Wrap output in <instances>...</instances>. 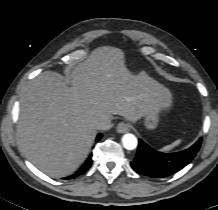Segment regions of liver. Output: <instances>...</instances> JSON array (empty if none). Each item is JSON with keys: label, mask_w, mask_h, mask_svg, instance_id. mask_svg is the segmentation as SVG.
Returning <instances> with one entry per match:
<instances>
[{"label": "liver", "mask_w": 218, "mask_h": 210, "mask_svg": "<svg viewBox=\"0 0 218 210\" xmlns=\"http://www.w3.org/2000/svg\"><path fill=\"white\" fill-rule=\"evenodd\" d=\"M153 103L170 108V91L144 71L132 74L120 50L101 47L73 69L71 84L46 72L27 85L20 99L19 141L39 170L64 177L87 158L99 122L113 114L136 122Z\"/></svg>", "instance_id": "6515ba94"}]
</instances>
